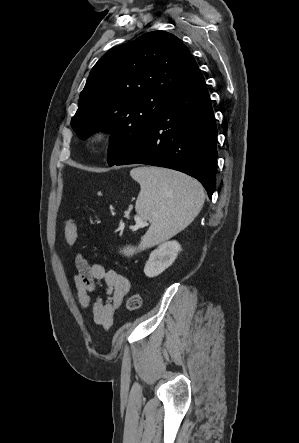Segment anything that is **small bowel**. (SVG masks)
Segmentation results:
<instances>
[{
	"mask_svg": "<svg viewBox=\"0 0 299 443\" xmlns=\"http://www.w3.org/2000/svg\"><path fill=\"white\" fill-rule=\"evenodd\" d=\"M74 281L77 297L84 309H91L92 318L98 325L109 329L117 309L130 290L129 280L115 269H105L101 263H90L83 255L75 257ZM106 288L107 298L97 297L91 302L90 295Z\"/></svg>",
	"mask_w": 299,
	"mask_h": 443,
	"instance_id": "c3829d8e",
	"label": "small bowel"
}]
</instances>
